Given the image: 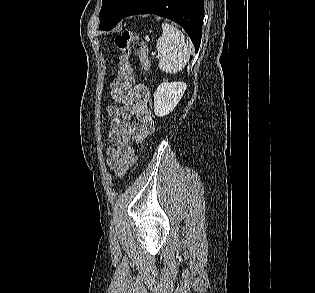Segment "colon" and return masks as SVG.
<instances>
[{
  "label": "colon",
  "instance_id": "1",
  "mask_svg": "<svg viewBox=\"0 0 315 293\" xmlns=\"http://www.w3.org/2000/svg\"><path fill=\"white\" fill-rule=\"evenodd\" d=\"M135 33L126 28L120 33H118L114 38V43L118 50L120 51L119 56V78H114L113 82H111V91L113 93H118L120 91V86L123 85L124 80L126 85H133V68L130 64V43L134 38ZM138 59L141 61L144 70H148L149 68V56L147 53V42L146 40H139L138 42ZM136 157L130 158L127 162H125L118 170H117V177L122 178L125 172L131 167V165L135 162Z\"/></svg>",
  "mask_w": 315,
  "mask_h": 293
}]
</instances>
